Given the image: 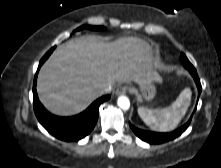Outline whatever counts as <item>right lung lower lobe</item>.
<instances>
[{
  "mask_svg": "<svg viewBox=\"0 0 221 168\" xmlns=\"http://www.w3.org/2000/svg\"><path fill=\"white\" fill-rule=\"evenodd\" d=\"M55 47L51 48L41 59L40 66L46 61ZM37 73L33 84V107L35 115L41 125L54 137L63 141H78L87 136L95 127L98 120L99 106L110 98V95H105L94 101L85 111L72 117H58L47 112L40 103L37 92L36 82Z\"/></svg>",
  "mask_w": 221,
  "mask_h": 168,
  "instance_id": "obj_1",
  "label": "right lung lower lobe"
}]
</instances>
